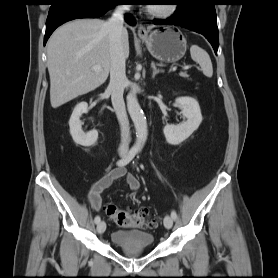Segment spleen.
<instances>
[{
  "label": "spleen",
  "instance_id": "obj_1",
  "mask_svg": "<svg viewBox=\"0 0 278 278\" xmlns=\"http://www.w3.org/2000/svg\"><path fill=\"white\" fill-rule=\"evenodd\" d=\"M191 58L197 62L203 74L207 77H212L213 67L208 53L197 45H192L190 48Z\"/></svg>",
  "mask_w": 278,
  "mask_h": 278
}]
</instances>
